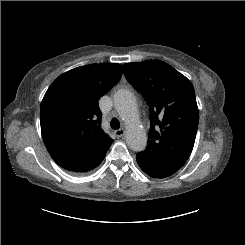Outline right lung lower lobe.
Here are the masks:
<instances>
[{"mask_svg":"<svg viewBox=\"0 0 245 245\" xmlns=\"http://www.w3.org/2000/svg\"><path fill=\"white\" fill-rule=\"evenodd\" d=\"M108 149H106L105 151H103L89 166L85 167L84 169H82L78 173L87 172V171L95 168L96 166H98L102 162V160L104 159V157H105L106 152H107Z\"/></svg>","mask_w":245,"mask_h":245,"instance_id":"1","label":"right lung lower lobe"}]
</instances>
